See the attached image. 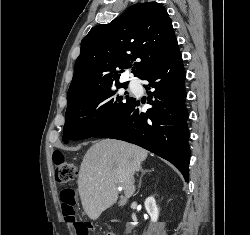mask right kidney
Listing matches in <instances>:
<instances>
[{
	"label": "right kidney",
	"instance_id": "ca27d5eb",
	"mask_svg": "<svg viewBox=\"0 0 250 235\" xmlns=\"http://www.w3.org/2000/svg\"><path fill=\"white\" fill-rule=\"evenodd\" d=\"M144 204H145V209H146L147 213L151 217V221L156 222L158 220V216H159V209L156 205V201H155L154 197H148L145 200Z\"/></svg>",
	"mask_w": 250,
	"mask_h": 235
}]
</instances>
